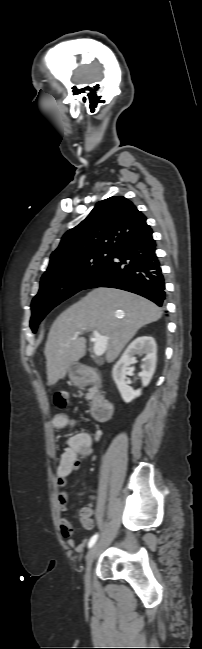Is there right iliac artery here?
Masks as SVG:
<instances>
[{
    "mask_svg": "<svg viewBox=\"0 0 202 649\" xmlns=\"http://www.w3.org/2000/svg\"><path fill=\"white\" fill-rule=\"evenodd\" d=\"M97 538H98L97 534H95V535H93L91 537V539L89 540V543H88L89 548H91L95 544V542L97 541Z\"/></svg>",
    "mask_w": 202,
    "mask_h": 649,
    "instance_id": "right-iliac-artery-1",
    "label": "right iliac artery"
}]
</instances>
